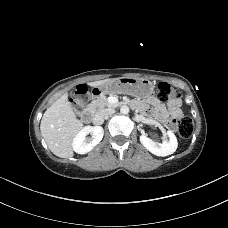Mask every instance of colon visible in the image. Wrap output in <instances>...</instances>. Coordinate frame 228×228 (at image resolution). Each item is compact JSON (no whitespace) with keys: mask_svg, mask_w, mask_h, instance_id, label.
<instances>
[{"mask_svg":"<svg viewBox=\"0 0 228 228\" xmlns=\"http://www.w3.org/2000/svg\"><path fill=\"white\" fill-rule=\"evenodd\" d=\"M157 96L161 101H170L179 98V91L167 82H160L157 88ZM89 101L88 89L84 84L78 85L74 91L72 102L77 108L84 107ZM193 120L189 116L181 117L176 124L181 137L187 138L193 131Z\"/></svg>","mask_w":228,"mask_h":228,"instance_id":"obj_1","label":"colon"}]
</instances>
